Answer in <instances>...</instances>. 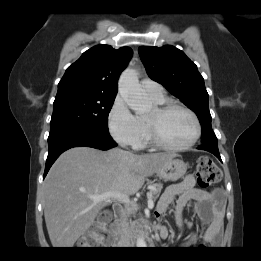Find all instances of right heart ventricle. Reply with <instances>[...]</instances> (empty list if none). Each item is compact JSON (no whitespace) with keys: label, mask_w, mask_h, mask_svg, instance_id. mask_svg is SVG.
I'll return each instance as SVG.
<instances>
[{"label":"right heart ventricle","mask_w":261,"mask_h":261,"mask_svg":"<svg viewBox=\"0 0 261 261\" xmlns=\"http://www.w3.org/2000/svg\"><path fill=\"white\" fill-rule=\"evenodd\" d=\"M149 97L156 104H162V103L165 102V97L164 96H161V97H151V96H149ZM139 119H140V121L142 122V124L144 126V134H143L144 140L142 141V144H141V146H144L148 142V135H147L146 125H145L144 120L142 118H139Z\"/></svg>","instance_id":"obj_1"}]
</instances>
